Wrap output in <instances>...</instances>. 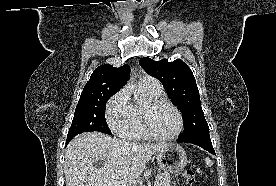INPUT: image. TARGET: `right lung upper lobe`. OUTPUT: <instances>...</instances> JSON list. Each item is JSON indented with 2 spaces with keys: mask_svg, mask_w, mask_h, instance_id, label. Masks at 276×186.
<instances>
[{
  "mask_svg": "<svg viewBox=\"0 0 276 186\" xmlns=\"http://www.w3.org/2000/svg\"><path fill=\"white\" fill-rule=\"evenodd\" d=\"M130 76V67L125 64L119 68L106 64L96 68L82 92L95 90L119 91Z\"/></svg>",
  "mask_w": 276,
  "mask_h": 186,
  "instance_id": "1",
  "label": "right lung upper lobe"
}]
</instances>
